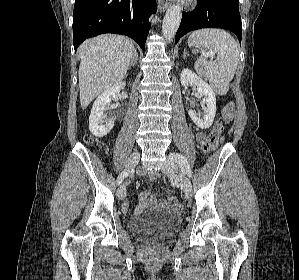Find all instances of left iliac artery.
Wrapping results in <instances>:
<instances>
[{
  "label": "left iliac artery",
  "mask_w": 299,
  "mask_h": 280,
  "mask_svg": "<svg viewBox=\"0 0 299 280\" xmlns=\"http://www.w3.org/2000/svg\"><path fill=\"white\" fill-rule=\"evenodd\" d=\"M170 157L180 165L182 171H184L188 177H192V170L190 168V165L183 155L179 153H171Z\"/></svg>",
  "instance_id": "1"
}]
</instances>
